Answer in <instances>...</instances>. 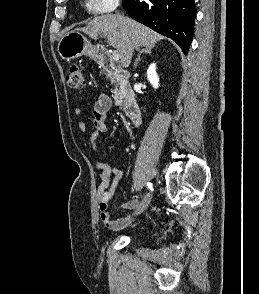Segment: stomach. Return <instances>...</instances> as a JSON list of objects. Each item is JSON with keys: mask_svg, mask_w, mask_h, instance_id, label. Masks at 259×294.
<instances>
[{"mask_svg": "<svg viewBox=\"0 0 259 294\" xmlns=\"http://www.w3.org/2000/svg\"><path fill=\"white\" fill-rule=\"evenodd\" d=\"M58 53L63 59L71 60L82 55H92V48L79 30H72L59 40Z\"/></svg>", "mask_w": 259, "mask_h": 294, "instance_id": "0dacf381", "label": "stomach"}]
</instances>
